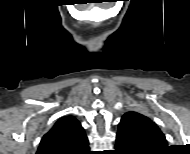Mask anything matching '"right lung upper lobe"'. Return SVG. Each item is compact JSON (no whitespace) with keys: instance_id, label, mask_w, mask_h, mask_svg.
I'll list each match as a JSON object with an SVG mask.
<instances>
[{"instance_id":"obj_1","label":"right lung upper lobe","mask_w":190,"mask_h":154,"mask_svg":"<svg viewBox=\"0 0 190 154\" xmlns=\"http://www.w3.org/2000/svg\"><path fill=\"white\" fill-rule=\"evenodd\" d=\"M88 144L80 122L73 116H65L43 136L36 154H87Z\"/></svg>"}]
</instances>
